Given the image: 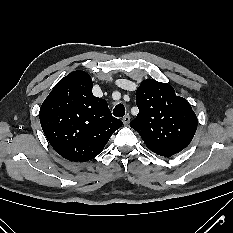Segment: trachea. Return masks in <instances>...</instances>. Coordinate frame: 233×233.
Wrapping results in <instances>:
<instances>
[{
  "mask_svg": "<svg viewBox=\"0 0 233 233\" xmlns=\"http://www.w3.org/2000/svg\"><path fill=\"white\" fill-rule=\"evenodd\" d=\"M113 115L115 117H123L125 115V108H124L123 104H118L115 106V108L113 110Z\"/></svg>",
  "mask_w": 233,
  "mask_h": 233,
  "instance_id": "1",
  "label": "trachea"
}]
</instances>
